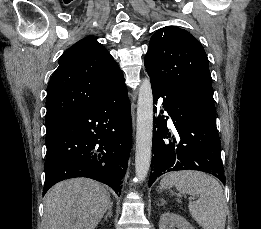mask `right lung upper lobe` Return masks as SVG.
Wrapping results in <instances>:
<instances>
[{
  "mask_svg": "<svg viewBox=\"0 0 261 229\" xmlns=\"http://www.w3.org/2000/svg\"><path fill=\"white\" fill-rule=\"evenodd\" d=\"M122 82V71L102 44L91 37L79 40L63 53L49 81L47 131L98 102Z\"/></svg>",
  "mask_w": 261,
  "mask_h": 229,
  "instance_id": "obj_1",
  "label": "right lung upper lobe"
}]
</instances>
